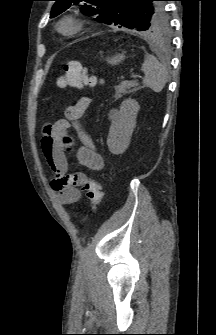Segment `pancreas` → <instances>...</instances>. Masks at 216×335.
Masks as SVG:
<instances>
[{"instance_id":"pancreas-1","label":"pancreas","mask_w":216,"mask_h":335,"mask_svg":"<svg viewBox=\"0 0 216 335\" xmlns=\"http://www.w3.org/2000/svg\"><path fill=\"white\" fill-rule=\"evenodd\" d=\"M115 100L120 99L123 95L129 94L138 90V83L133 81H123L116 85L115 87ZM132 88V89H131Z\"/></svg>"}]
</instances>
